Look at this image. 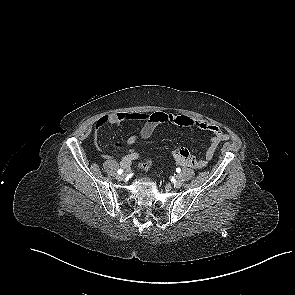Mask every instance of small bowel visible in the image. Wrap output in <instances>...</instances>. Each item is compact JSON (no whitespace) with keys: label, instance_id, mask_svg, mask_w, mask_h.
<instances>
[{"label":"small bowel","instance_id":"obj_1","mask_svg":"<svg viewBox=\"0 0 295 295\" xmlns=\"http://www.w3.org/2000/svg\"><path fill=\"white\" fill-rule=\"evenodd\" d=\"M128 121L143 122V126L141 127L139 133L131 135L127 138L126 144L129 146L136 143L138 139L149 138L156 129V127L161 124H172L180 127L196 128L204 131H209L212 134V136L204 158H195L185 148H179L174 153L176 162L178 164L195 169H201L205 167L208 164V162L213 158L219 144L229 139V134L222 131L217 125L201 122L185 115L166 113L161 111L149 114L140 112H118L105 115L99 118L94 125L95 138H97L98 130L102 128L104 125H119L123 122ZM120 147L121 144H115V148ZM102 157L106 159L110 158V156L107 154H103ZM138 158L139 154L134 150H130V152L121 159V166L129 168L131 163L137 160Z\"/></svg>","mask_w":295,"mask_h":295}]
</instances>
